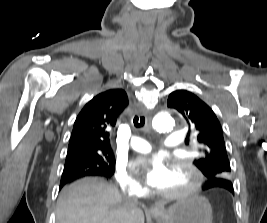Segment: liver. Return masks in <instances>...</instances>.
Here are the masks:
<instances>
[{
  "mask_svg": "<svg viewBox=\"0 0 267 223\" xmlns=\"http://www.w3.org/2000/svg\"><path fill=\"white\" fill-rule=\"evenodd\" d=\"M56 223H144V214L114 185L101 178H84L62 189Z\"/></svg>",
  "mask_w": 267,
  "mask_h": 223,
  "instance_id": "1",
  "label": "liver"
}]
</instances>
